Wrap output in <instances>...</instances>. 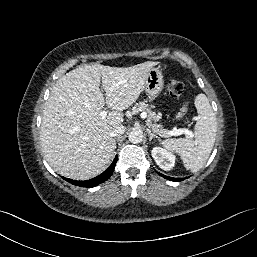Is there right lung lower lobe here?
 I'll list each match as a JSON object with an SVG mask.
<instances>
[{
	"label": "right lung lower lobe",
	"instance_id": "obj_1",
	"mask_svg": "<svg viewBox=\"0 0 257 257\" xmlns=\"http://www.w3.org/2000/svg\"><path fill=\"white\" fill-rule=\"evenodd\" d=\"M118 157L116 156L114 161L112 162V164L100 175H98L97 177L90 179V180H86V181H76V180H71V179H67L64 178L66 181H68L69 183L76 185V186H81V187H93V186H97L103 182H105L107 179L110 178V176L112 175L114 168H115V164L117 162Z\"/></svg>",
	"mask_w": 257,
	"mask_h": 257
}]
</instances>
